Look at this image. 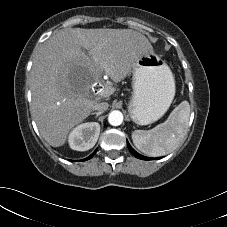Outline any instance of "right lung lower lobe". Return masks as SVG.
Listing matches in <instances>:
<instances>
[{"instance_id":"obj_1","label":"right lung lower lobe","mask_w":227,"mask_h":227,"mask_svg":"<svg viewBox=\"0 0 227 227\" xmlns=\"http://www.w3.org/2000/svg\"><path fill=\"white\" fill-rule=\"evenodd\" d=\"M97 150H95L89 157L83 159L82 161L88 160L90 158H92L94 156V154L96 153Z\"/></svg>"}]
</instances>
